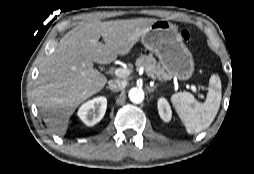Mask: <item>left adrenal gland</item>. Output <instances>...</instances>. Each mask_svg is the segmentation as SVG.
I'll list each match as a JSON object with an SVG mask.
<instances>
[{
	"label": "left adrenal gland",
	"instance_id": "a2214340",
	"mask_svg": "<svg viewBox=\"0 0 254 174\" xmlns=\"http://www.w3.org/2000/svg\"><path fill=\"white\" fill-rule=\"evenodd\" d=\"M147 90H148L149 93L154 92L156 90V86H154V87H149L148 86Z\"/></svg>",
	"mask_w": 254,
	"mask_h": 174
}]
</instances>
